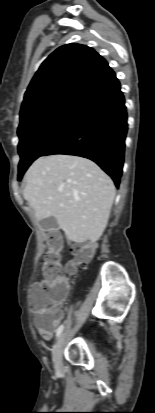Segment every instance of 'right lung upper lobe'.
<instances>
[{"instance_id": "1", "label": "right lung upper lobe", "mask_w": 155, "mask_h": 413, "mask_svg": "<svg viewBox=\"0 0 155 413\" xmlns=\"http://www.w3.org/2000/svg\"><path fill=\"white\" fill-rule=\"evenodd\" d=\"M116 75L92 48L76 43L56 49L41 64L24 96L20 126L64 104H79Z\"/></svg>"}]
</instances>
